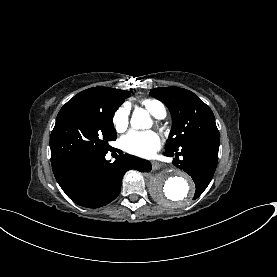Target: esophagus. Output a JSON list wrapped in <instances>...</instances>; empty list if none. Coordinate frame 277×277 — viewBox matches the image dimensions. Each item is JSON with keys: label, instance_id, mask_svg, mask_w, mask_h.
Wrapping results in <instances>:
<instances>
[{"label": "esophagus", "instance_id": "1", "mask_svg": "<svg viewBox=\"0 0 277 277\" xmlns=\"http://www.w3.org/2000/svg\"><path fill=\"white\" fill-rule=\"evenodd\" d=\"M151 165L153 170H157L162 166V163L159 162L158 160H152Z\"/></svg>", "mask_w": 277, "mask_h": 277}]
</instances>
